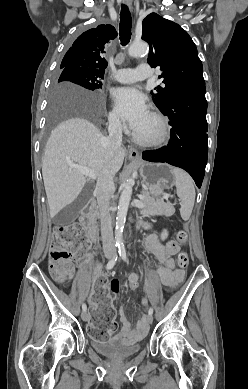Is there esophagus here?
<instances>
[{"instance_id": "obj_1", "label": "esophagus", "mask_w": 248, "mask_h": 389, "mask_svg": "<svg viewBox=\"0 0 248 389\" xmlns=\"http://www.w3.org/2000/svg\"><path fill=\"white\" fill-rule=\"evenodd\" d=\"M125 3H126L129 7H131V5H132L131 0H125ZM129 158H130L131 160H134V161L139 160V152H138V150H137L136 148H134V147H132V146L129 147Z\"/></svg>"}]
</instances>
